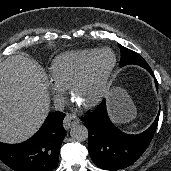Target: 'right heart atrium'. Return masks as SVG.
I'll list each match as a JSON object with an SVG mask.
<instances>
[{
	"instance_id": "right-heart-atrium-1",
	"label": "right heart atrium",
	"mask_w": 171,
	"mask_h": 171,
	"mask_svg": "<svg viewBox=\"0 0 171 171\" xmlns=\"http://www.w3.org/2000/svg\"><path fill=\"white\" fill-rule=\"evenodd\" d=\"M49 87L55 102L56 103L62 102L64 100L67 88L60 84H56L53 81L50 82Z\"/></svg>"
}]
</instances>
